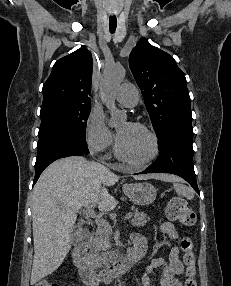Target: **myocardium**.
Segmentation results:
<instances>
[{
  "mask_svg": "<svg viewBox=\"0 0 231 286\" xmlns=\"http://www.w3.org/2000/svg\"><path fill=\"white\" fill-rule=\"evenodd\" d=\"M131 125L145 131L151 137L152 143H153V151L151 155L143 161L131 160L122 152L118 139L116 140V143H115V153L117 157L120 160L124 161L125 163L133 167L142 168V167L149 165L151 162H153L159 155V152H160L159 139H158L156 132L152 128L148 127L147 125L140 123V122H132Z\"/></svg>",
  "mask_w": 231,
  "mask_h": 286,
  "instance_id": "myocardium-1",
  "label": "myocardium"
}]
</instances>
